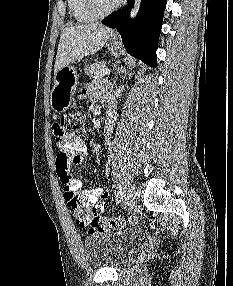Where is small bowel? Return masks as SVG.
Returning a JSON list of instances; mask_svg holds the SVG:
<instances>
[{"label":"small bowel","mask_w":233,"mask_h":286,"mask_svg":"<svg viewBox=\"0 0 233 286\" xmlns=\"http://www.w3.org/2000/svg\"><path fill=\"white\" fill-rule=\"evenodd\" d=\"M98 95L104 101H110L108 86L103 84H87L85 85L79 96L81 99L89 98L90 96ZM55 146L57 149L55 158V168L57 175L63 185V195L66 199L68 192H73L78 195L83 205L86 208L94 209L97 213L103 211V206L100 200L108 197V192L102 187H94L82 190V182L74 177V171L83 166L88 160V149L78 135L70 133H60L57 125L54 126ZM110 136V126L107 125L105 131V140L108 141ZM79 225L85 227L84 223L77 220Z\"/></svg>","instance_id":"obj_1"}]
</instances>
